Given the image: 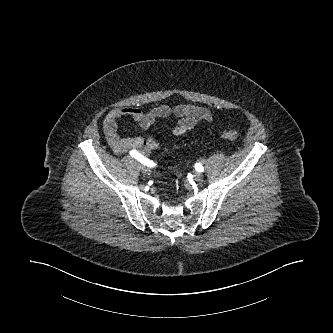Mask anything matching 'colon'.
I'll use <instances>...</instances> for the list:
<instances>
[{"label": "colon", "mask_w": 333, "mask_h": 333, "mask_svg": "<svg viewBox=\"0 0 333 333\" xmlns=\"http://www.w3.org/2000/svg\"><path fill=\"white\" fill-rule=\"evenodd\" d=\"M221 136L226 140L234 141L238 139L239 134L233 129H227L221 132Z\"/></svg>", "instance_id": "1"}]
</instances>
